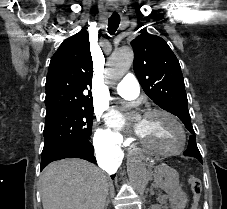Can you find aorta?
Masks as SVG:
<instances>
[{"instance_id": "aorta-1", "label": "aorta", "mask_w": 227, "mask_h": 209, "mask_svg": "<svg viewBox=\"0 0 227 209\" xmlns=\"http://www.w3.org/2000/svg\"><path fill=\"white\" fill-rule=\"evenodd\" d=\"M133 50L124 47L115 51L108 59L105 77L108 81L123 77L133 63ZM127 173L134 189L142 193L147 182V164L141 152L132 151L127 158Z\"/></svg>"}]
</instances>
